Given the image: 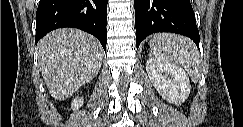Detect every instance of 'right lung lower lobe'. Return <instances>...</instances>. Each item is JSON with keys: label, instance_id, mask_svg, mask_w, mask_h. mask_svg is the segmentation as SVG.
<instances>
[{"label": "right lung lower lobe", "instance_id": "98d812e1", "mask_svg": "<svg viewBox=\"0 0 243 127\" xmlns=\"http://www.w3.org/2000/svg\"><path fill=\"white\" fill-rule=\"evenodd\" d=\"M107 3L108 0H40L35 42L54 29L74 27L97 37L106 51Z\"/></svg>", "mask_w": 243, "mask_h": 127}]
</instances>
